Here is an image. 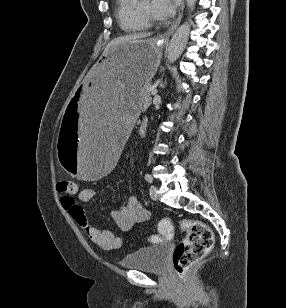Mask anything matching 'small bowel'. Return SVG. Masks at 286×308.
Instances as JSON below:
<instances>
[{"mask_svg": "<svg viewBox=\"0 0 286 308\" xmlns=\"http://www.w3.org/2000/svg\"><path fill=\"white\" fill-rule=\"evenodd\" d=\"M95 196V190L92 188H83L77 193V201L87 203ZM62 206L69 211L72 218L87 235V237L99 248L110 250L122 246L123 241L112 230H99L95 228L86 217L84 210L73 198L63 197ZM115 226L122 230H130L136 223L142 222L149 217L148 211L142 206L140 201L131 196L126 204L119 210H114L110 214Z\"/></svg>", "mask_w": 286, "mask_h": 308, "instance_id": "1", "label": "small bowel"}]
</instances>
